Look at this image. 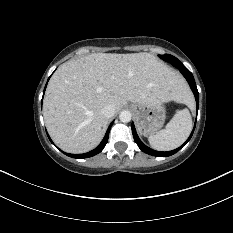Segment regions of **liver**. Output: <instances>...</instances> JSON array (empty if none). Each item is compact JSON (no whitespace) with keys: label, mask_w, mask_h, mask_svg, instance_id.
<instances>
[{"label":"liver","mask_w":233,"mask_h":233,"mask_svg":"<svg viewBox=\"0 0 233 233\" xmlns=\"http://www.w3.org/2000/svg\"><path fill=\"white\" fill-rule=\"evenodd\" d=\"M191 100L184 79L150 53H94L62 64L49 81L43 102L47 130L69 153H84L102 140L108 118L128 101L143 105Z\"/></svg>","instance_id":"obj_1"}]
</instances>
